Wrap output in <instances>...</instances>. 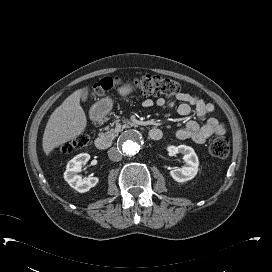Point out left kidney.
I'll return each mask as SVG.
<instances>
[{
  "mask_svg": "<svg viewBox=\"0 0 272 272\" xmlns=\"http://www.w3.org/2000/svg\"><path fill=\"white\" fill-rule=\"evenodd\" d=\"M167 150L171 155L178 153L183 154V159L185 161V165L182 168L171 170L170 176L179 183L193 179L198 172L199 166V160L194 149L190 146L179 145L177 147L169 146Z\"/></svg>",
  "mask_w": 272,
  "mask_h": 272,
  "instance_id": "left-kidney-1",
  "label": "left kidney"
}]
</instances>
